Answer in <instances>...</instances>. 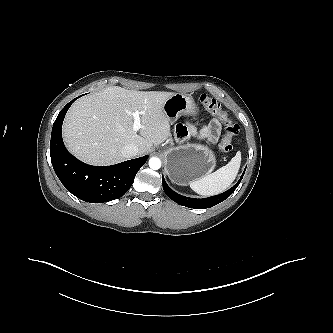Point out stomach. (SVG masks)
Listing matches in <instances>:
<instances>
[{"label": "stomach", "instance_id": "1", "mask_svg": "<svg viewBox=\"0 0 333 333\" xmlns=\"http://www.w3.org/2000/svg\"><path fill=\"white\" fill-rule=\"evenodd\" d=\"M166 117L175 122L182 115H193L196 105L193 98L183 93H175L163 105ZM166 172L178 185H186L210 174L216 166L212 150L205 145L187 143L165 151Z\"/></svg>", "mask_w": 333, "mask_h": 333}]
</instances>
